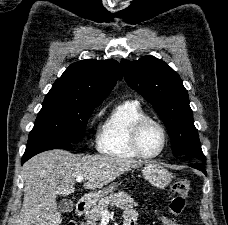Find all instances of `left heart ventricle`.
<instances>
[{
	"mask_svg": "<svg viewBox=\"0 0 228 225\" xmlns=\"http://www.w3.org/2000/svg\"><path fill=\"white\" fill-rule=\"evenodd\" d=\"M162 141V134L157 126L150 124L144 129L141 136V145L146 153L155 154L159 152Z\"/></svg>",
	"mask_w": 228,
	"mask_h": 225,
	"instance_id": "left-heart-ventricle-1",
	"label": "left heart ventricle"
}]
</instances>
